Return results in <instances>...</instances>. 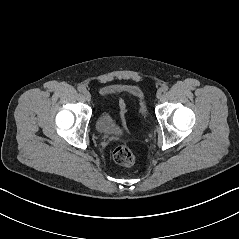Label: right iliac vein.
I'll return each instance as SVG.
<instances>
[{"mask_svg":"<svg viewBox=\"0 0 239 239\" xmlns=\"http://www.w3.org/2000/svg\"><path fill=\"white\" fill-rule=\"evenodd\" d=\"M83 95H84V98H85L87 101H90V100H91V94H90L89 91L84 90V91H83Z\"/></svg>","mask_w":239,"mask_h":239,"instance_id":"1","label":"right iliac vein"}]
</instances>
